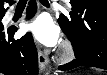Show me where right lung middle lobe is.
Returning <instances> with one entry per match:
<instances>
[{
    "label": "right lung middle lobe",
    "mask_w": 107,
    "mask_h": 75,
    "mask_svg": "<svg viewBox=\"0 0 107 75\" xmlns=\"http://www.w3.org/2000/svg\"><path fill=\"white\" fill-rule=\"evenodd\" d=\"M1 16H0V20H1ZM0 30H3V25L0 23Z\"/></svg>",
    "instance_id": "obj_1"
}]
</instances>
